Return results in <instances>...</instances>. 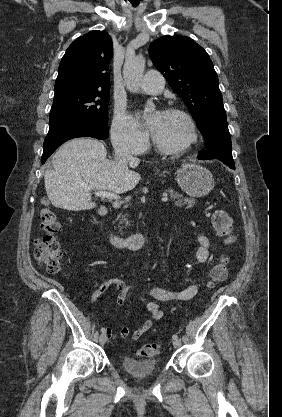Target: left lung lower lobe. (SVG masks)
<instances>
[{
    "mask_svg": "<svg viewBox=\"0 0 282 417\" xmlns=\"http://www.w3.org/2000/svg\"><path fill=\"white\" fill-rule=\"evenodd\" d=\"M206 142V150H202L199 159H219L231 169H235L232 158V144L227 119H217L209 124L202 133Z\"/></svg>",
    "mask_w": 282,
    "mask_h": 417,
    "instance_id": "0a47b994",
    "label": "left lung lower lobe"
}]
</instances>
